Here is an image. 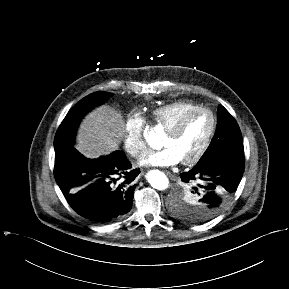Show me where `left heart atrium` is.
Wrapping results in <instances>:
<instances>
[{"mask_svg": "<svg viewBox=\"0 0 289 289\" xmlns=\"http://www.w3.org/2000/svg\"><path fill=\"white\" fill-rule=\"evenodd\" d=\"M181 161L177 153L170 147L155 152H151L146 158L141 160L140 164L144 166L169 167L178 164Z\"/></svg>", "mask_w": 289, "mask_h": 289, "instance_id": "obj_1", "label": "left heart atrium"}]
</instances>
